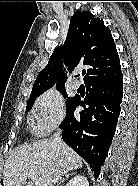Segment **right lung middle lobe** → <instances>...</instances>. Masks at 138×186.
I'll return each mask as SVG.
<instances>
[{"mask_svg":"<svg viewBox=\"0 0 138 186\" xmlns=\"http://www.w3.org/2000/svg\"><path fill=\"white\" fill-rule=\"evenodd\" d=\"M57 89H58V91H59L65 98H67V100H66V109H67V108L72 104V102L74 101L75 97H73V98H68L64 86H63V87H58ZM42 93H43V92H41V93H35V94H31V95H30V98H29V100H28V102H27L26 111H28V110L31 109L32 104H33L35 98H37V97H38L40 94H42Z\"/></svg>","mask_w":138,"mask_h":186,"instance_id":"obj_1","label":"right lung middle lobe"}]
</instances>
